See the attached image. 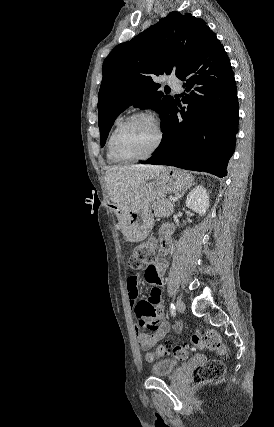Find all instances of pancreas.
I'll return each mask as SVG.
<instances>
[{"instance_id":"obj_1","label":"pancreas","mask_w":274,"mask_h":427,"mask_svg":"<svg viewBox=\"0 0 274 427\" xmlns=\"http://www.w3.org/2000/svg\"><path fill=\"white\" fill-rule=\"evenodd\" d=\"M154 214L158 217H169L174 212V202L172 198H157V202H154Z\"/></svg>"}]
</instances>
